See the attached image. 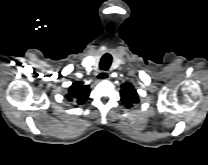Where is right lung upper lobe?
I'll use <instances>...</instances> for the list:
<instances>
[{
  "label": "right lung upper lobe",
  "mask_w": 208,
  "mask_h": 165,
  "mask_svg": "<svg viewBox=\"0 0 208 165\" xmlns=\"http://www.w3.org/2000/svg\"><path fill=\"white\" fill-rule=\"evenodd\" d=\"M90 94L89 85H82L80 82H74L68 90L67 98L69 101L74 100L77 105H81L86 102Z\"/></svg>",
  "instance_id": "obj_1"
}]
</instances>
